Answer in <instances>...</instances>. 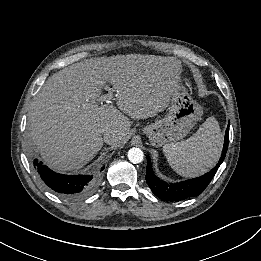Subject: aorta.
<instances>
[{
	"mask_svg": "<svg viewBox=\"0 0 261 261\" xmlns=\"http://www.w3.org/2000/svg\"><path fill=\"white\" fill-rule=\"evenodd\" d=\"M128 159L133 164H138L143 161L144 154L139 148L133 147L128 151Z\"/></svg>",
	"mask_w": 261,
	"mask_h": 261,
	"instance_id": "762f6f07",
	"label": "aorta"
}]
</instances>
